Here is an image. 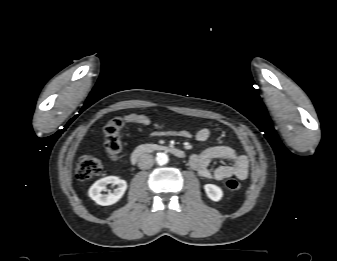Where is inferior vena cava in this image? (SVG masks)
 <instances>
[{"instance_id":"inferior-vena-cava-1","label":"inferior vena cava","mask_w":337,"mask_h":261,"mask_svg":"<svg viewBox=\"0 0 337 261\" xmlns=\"http://www.w3.org/2000/svg\"><path fill=\"white\" fill-rule=\"evenodd\" d=\"M154 159L151 154H143L138 159V167L142 170L150 169L153 166Z\"/></svg>"}]
</instances>
